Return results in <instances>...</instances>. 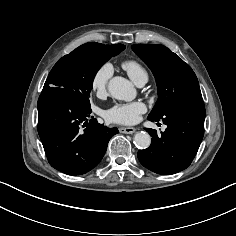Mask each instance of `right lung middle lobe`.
I'll return each mask as SVG.
<instances>
[{
    "mask_svg": "<svg viewBox=\"0 0 236 236\" xmlns=\"http://www.w3.org/2000/svg\"><path fill=\"white\" fill-rule=\"evenodd\" d=\"M120 51L100 44L81 45L52 68L43 89L61 88L90 106V92L100 67Z\"/></svg>",
    "mask_w": 236,
    "mask_h": 236,
    "instance_id": "1",
    "label": "right lung middle lobe"
}]
</instances>
